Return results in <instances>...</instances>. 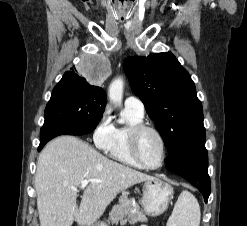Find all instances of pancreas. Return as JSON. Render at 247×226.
Instances as JSON below:
<instances>
[{
	"label": "pancreas",
	"instance_id": "pancreas-1",
	"mask_svg": "<svg viewBox=\"0 0 247 226\" xmlns=\"http://www.w3.org/2000/svg\"><path fill=\"white\" fill-rule=\"evenodd\" d=\"M138 221H147L146 216L140 211L138 204L126 196L119 198V203L114 205L109 213L108 222L112 224L136 223ZM145 226V225H143Z\"/></svg>",
	"mask_w": 247,
	"mask_h": 226
}]
</instances>
